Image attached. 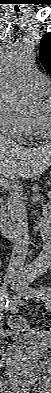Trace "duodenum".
<instances>
[{"label":"duodenum","instance_id":"duodenum-1","mask_svg":"<svg viewBox=\"0 0 51 393\" xmlns=\"http://www.w3.org/2000/svg\"><path fill=\"white\" fill-rule=\"evenodd\" d=\"M43 220H44V227H47L51 221V216L49 212L43 213ZM0 228L2 233L7 236L11 237L14 233V228L9 220V217L6 213L5 207L3 202L0 203Z\"/></svg>","mask_w":51,"mask_h":393}]
</instances>
